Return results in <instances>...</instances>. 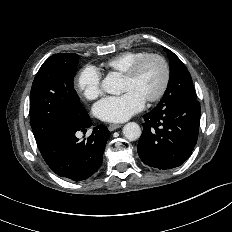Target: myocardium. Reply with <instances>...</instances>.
Masks as SVG:
<instances>
[{"mask_svg": "<svg viewBox=\"0 0 232 232\" xmlns=\"http://www.w3.org/2000/svg\"><path fill=\"white\" fill-rule=\"evenodd\" d=\"M149 60H156L160 63L163 71L162 83L158 91L148 97L146 101L148 102H156L159 101L166 93L169 83H170V67L164 56L158 53H146L139 59H137L124 73V77L128 79H133L136 77L142 66Z\"/></svg>", "mask_w": 232, "mask_h": 232, "instance_id": "obj_1", "label": "myocardium"}]
</instances>
